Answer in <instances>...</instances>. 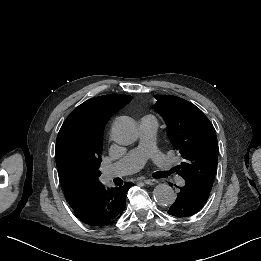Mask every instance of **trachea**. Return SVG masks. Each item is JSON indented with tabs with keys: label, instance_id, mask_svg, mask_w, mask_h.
<instances>
[{
	"label": "trachea",
	"instance_id": "trachea-1",
	"mask_svg": "<svg viewBox=\"0 0 261 261\" xmlns=\"http://www.w3.org/2000/svg\"><path fill=\"white\" fill-rule=\"evenodd\" d=\"M167 176H169V173L168 172H158L156 173V178H166Z\"/></svg>",
	"mask_w": 261,
	"mask_h": 261
}]
</instances>
